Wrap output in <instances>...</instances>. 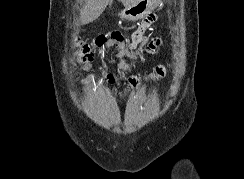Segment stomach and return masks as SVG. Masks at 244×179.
<instances>
[{"label":"stomach","mask_w":244,"mask_h":179,"mask_svg":"<svg viewBox=\"0 0 244 179\" xmlns=\"http://www.w3.org/2000/svg\"><path fill=\"white\" fill-rule=\"evenodd\" d=\"M124 2L125 10L121 14L122 18H125V20H140V18H144V14H150V9L142 8H155V3L158 0H124Z\"/></svg>","instance_id":"1"}]
</instances>
